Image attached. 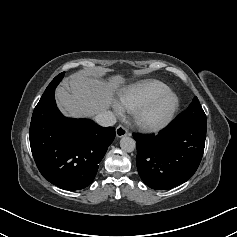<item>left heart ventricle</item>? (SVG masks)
I'll return each mask as SVG.
<instances>
[{
    "label": "left heart ventricle",
    "instance_id": "left-heart-ventricle-1",
    "mask_svg": "<svg viewBox=\"0 0 237 237\" xmlns=\"http://www.w3.org/2000/svg\"><path fill=\"white\" fill-rule=\"evenodd\" d=\"M167 105H168L167 102L162 103V104L150 115V117L154 119V118H157V117H159L160 115H162V114L164 113V111L166 110Z\"/></svg>",
    "mask_w": 237,
    "mask_h": 237
}]
</instances>
